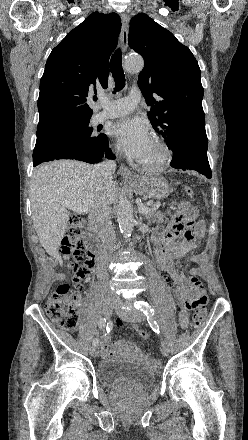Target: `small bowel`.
Wrapping results in <instances>:
<instances>
[{
  "instance_id": "obj_1",
  "label": "small bowel",
  "mask_w": 248,
  "mask_h": 440,
  "mask_svg": "<svg viewBox=\"0 0 248 440\" xmlns=\"http://www.w3.org/2000/svg\"><path fill=\"white\" fill-rule=\"evenodd\" d=\"M204 235V229H197L189 219V209L186 203L181 204L173 223L157 238V257L158 269L161 270L163 279L168 287L178 285L176 295L181 303L178 309L179 317L177 326L180 331H187L190 326V317L188 310L194 308L197 290L189 285L186 276L178 273L176 259L185 256L194 250L198 239ZM191 261L199 263L201 256L198 254L191 256ZM199 273L198 268H191L189 274L196 276ZM122 321L117 322L121 326ZM137 329V326H134ZM101 355L105 359H113L118 356H125L137 359L148 364L156 365L153 359L145 357L139 348L131 341L120 340L114 344L111 343L109 336L103 339Z\"/></svg>"
}]
</instances>
